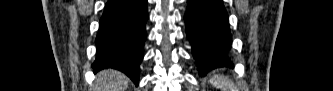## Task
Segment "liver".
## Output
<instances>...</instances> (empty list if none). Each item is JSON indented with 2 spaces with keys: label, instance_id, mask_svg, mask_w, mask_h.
Wrapping results in <instances>:
<instances>
[{
  "label": "liver",
  "instance_id": "liver-1",
  "mask_svg": "<svg viewBox=\"0 0 333 91\" xmlns=\"http://www.w3.org/2000/svg\"><path fill=\"white\" fill-rule=\"evenodd\" d=\"M128 82L127 76L119 71L102 70L95 81L94 91H125Z\"/></svg>",
  "mask_w": 333,
  "mask_h": 91
}]
</instances>
